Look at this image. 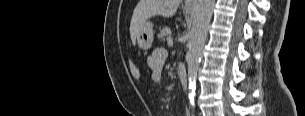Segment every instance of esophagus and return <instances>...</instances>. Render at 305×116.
<instances>
[{"instance_id":"34e87169","label":"esophagus","mask_w":305,"mask_h":116,"mask_svg":"<svg viewBox=\"0 0 305 116\" xmlns=\"http://www.w3.org/2000/svg\"><path fill=\"white\" fill-rule=\"evenodd\" d=\"M196 5H197V0H186L184 2V9H187V10H195L196 8Z\"/></svg>"}]
</instances>
